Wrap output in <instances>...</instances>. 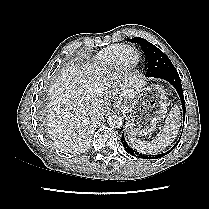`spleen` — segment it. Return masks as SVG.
Instances as JSON below:
<instances>
[{"mask_svg": "<svg viewBox=\"0 0 209 209\" xmlns=\"http://www.w3.org/2000/svg\"><path fill=\"white\" fill-rule=\"evenodd\" d=\"M181 124L180 108L174 105L167 116L163 129L152 141H141L133 136H128L130 145L141 153L153 154L163 151L176 138Z\"/></svg>", "mask_w": 209, "mask_h": 209, "instance_id": "3e777b00", "label": "spleen"}]
</instances>
